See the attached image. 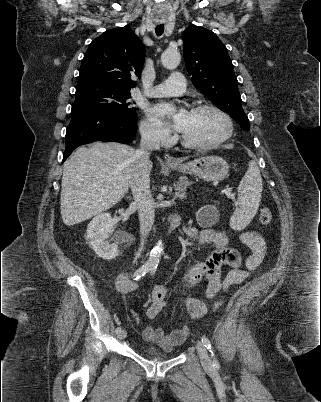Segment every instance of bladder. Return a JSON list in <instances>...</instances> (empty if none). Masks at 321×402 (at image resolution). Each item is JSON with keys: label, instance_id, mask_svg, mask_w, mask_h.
<instances>
[{"label": "bladder", "instance_id": "31cf9c89", "mask_svg": "<svg viewBox=\"0 0 321 402\" xmlns=\"http://www.w3.org/2000/svg\"><path fill=\"white\" fill-rule=\"evenodd\" d=\"M145 355L149 358L153 359H166L172 357L173 354L171 353H166L162 351L161 349L155 348V347H147L145 349Z\"/></svg>", "mask_w": 321, "mask_h": 402}]
</instances>
